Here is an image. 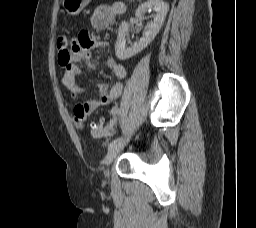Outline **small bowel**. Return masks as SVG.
Returning a JSON list of instances; mask_svg holds the SVG:
<instances>
[{"instance_id": "c3829d8e", "label": "small bowel", "mask_w": 256, "mask_h": 228, "mask_svg": "<svg viewBox=\"0 0 256 228\" xmlns=\"http://www.w3.org/2000/svg\"><path fill=\"white\" fill-rule=\"evenodd\" d=\"M122 3L116 2L111 5H101L95 9L89 19L90 26L96 30L106 29L117 15L124 12ZM102 43L91 36L87 30H82L64 49H58V61L63 68L62 85L71 93L75 103L72 107V119L76 128L81 129L91 115L99 107L105 106L119 98L123 90L122 80L126 77V69L112 58L106 59V65L116 77L110 84H99V96L77 102L84 88L80 83L79 76L82 67L94 68L95 63L90 51L95 48L105 47ZM115 129V121L108 123L107 133L111 134Z\"/></svg>"}]
</instances>
